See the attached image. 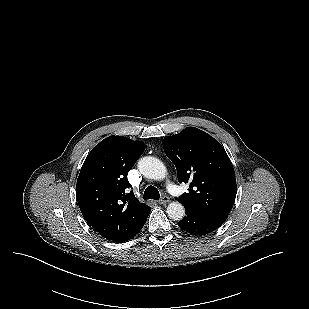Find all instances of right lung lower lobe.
<instances>
[{"label":"right lung lower lobe","instance_id":"98d812e1","mask_svg":"<svg viewBox=\"0 0 309 309\" xmlns=\"http://www.w3.org/2000/svg\"><path fill=\"white\" fill-rule=\"evenodd\" d=\"M146 222V221H145ZM145 222L138 228V230L136 232H134L133 234L129 235L128 237L118 240L117 242H124V241H128L129 239H131L132 237H134L144 226Z\"/></svg>","mask_w":309,"mask_h":309}]
</instances>
